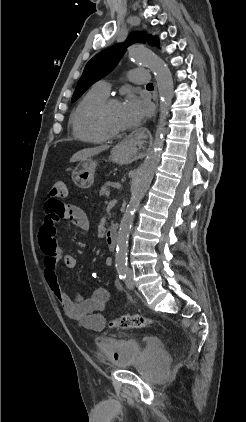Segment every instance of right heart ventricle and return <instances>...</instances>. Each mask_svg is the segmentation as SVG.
I'll return each instance as SVG.
<instances>
[{
    "label": "right heart ventricle",
    "instance_id": "obj_1",
    "mask_svg": "<svg viewBox=\"0 0 246 422\" xmlns=\"http://www.w3.org/2000/svg\"><path fill=\"white\" fill-rule=\"evenodd\" d=\"M106 98V93L94 87L78 102L70 118L72 132L77 139L93 144L102 143L107 139L98 129L94 119L96 107Z\"/></svg>",
    "mask_w": 246,
    "mask_h": 422
}]
</instances>
